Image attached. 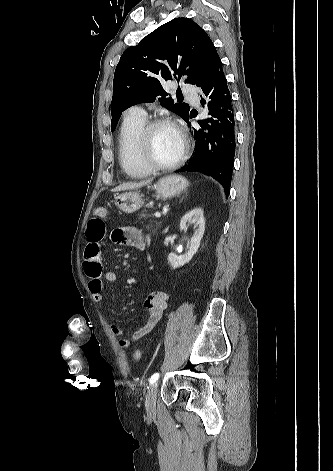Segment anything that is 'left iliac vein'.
Returning a JSON list of instances; mask_svg holds the SVG:
<instances>
[{"label":"left iliac vein","mask_w":333,"mask_h":471,"mask_svg":"<svg viewBox=\"0 0 333 471\" xmlns=\"http://www.w3.org/2000/svg\"><path fill=\"white\" fill-rule=\"evenodd\" d=\"M157 388L158 384L155 382L148 389L145 400V408L148 415H154L156 412Z\"/></svg>","instance_id":"obj_1"}]
</instances>
